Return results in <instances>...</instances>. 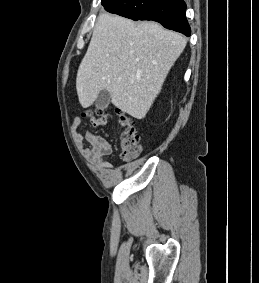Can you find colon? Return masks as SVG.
<instances>
[{
    "mask_svg": "<svg viewBox=\"0 0 259 283\" xmlns=\"http://www.w3.org/2000/svg\"><path fill=\"white\" fill-rule=\"evenodd\" d=\"M103 109H89L83 116L102 115ZM119 122L123 125L121 133L122 159L125 162L136 159L141 152L140 138L131 119L122 112L117 113Z\"/></svg>",
    "mask_w": 259,
    "mask_h": 283,
    "instance_id": "obj_1",
    "label": "colon"
}]
</instances>
